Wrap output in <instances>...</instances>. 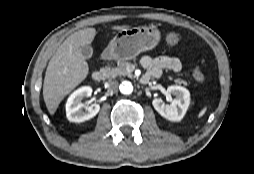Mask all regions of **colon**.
<instances>
[{"instance_id":"5ec220e1","label":"colon","mask_w":254,"mask_h":174,"mask_svg":"<svg viewBox=\"0 0 254 174\" xmlns=\"http://www.w3.org/2000/svg\"><path fill=\"white\" fill-rule=\"evenodd\" d=\"M165 39L168 44L175 45L181 41L182 37H181L180 33L172 30V31H168L166 33ZM192 74H193L194 79L197 82L203 83L205 81V75L198 66L193 68Z\"/></svg>"}]
</instances>
